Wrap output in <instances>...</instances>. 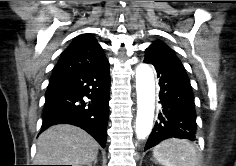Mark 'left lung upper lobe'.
<instances>
[{
	"label": "left lung upper lobe",
	"instance_id": "left-lung-upper-lobe-1",
	"mask_svg": "<svg viewBox=\"0 0 236 166\" xmlns=\"http://www.w3.org/2000/svg\"><path fill=\"white\" fill-rule=\"evenodd\" d=\"M164 59H178L165 43L156 41L146 49L145 60L156 62Z\"/></svg>",
	"mask_w": 236,
	"mask_h": 166
}]
</instances>
